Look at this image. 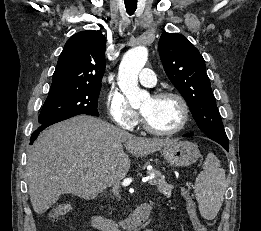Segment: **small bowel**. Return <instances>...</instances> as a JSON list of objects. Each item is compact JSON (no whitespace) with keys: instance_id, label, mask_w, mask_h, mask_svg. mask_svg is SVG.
Wrapping results in <instances>:
<instances>
[{"instance_id":"small-bowel-1","label":"small bowel","mask_w":261,"mask_h":231,"mask_svg":"<svg viewBox=\"0 0 261 231\" xmlns=\"http://www.w3.org/2000/svg\"><path fill=\"white\" fill-rule=\"evenodd\" d=\"M182 195H183L184 198H186V199L189 198V193H188V191L185 190V189L182 190ZM144 231H153V230L147 229V230H144Z\"/></svg>"}]
</instances>
